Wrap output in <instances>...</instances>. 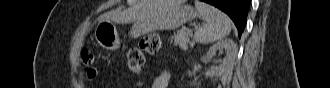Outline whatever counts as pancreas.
I'll list each match as a JSON object with an SVG mask.
<instances>
[{
    "mask_svg": "<svg viewBox=\"0 0 330 88\" xmlns=\"http://www.w3.org/2000/svg\"><path fill=\"white\" fill-rule=\"evenodd\" d=\"M174 45L178 46L182 50H187L188 46L191 45L190 34L186 30H179L173 36Z\"/></svg>",
    "mask_w": 330,
    "mask_h": 88,
    "instance_id": "cf45deb5",
    "label": "pancreas"
}]
</instances>
